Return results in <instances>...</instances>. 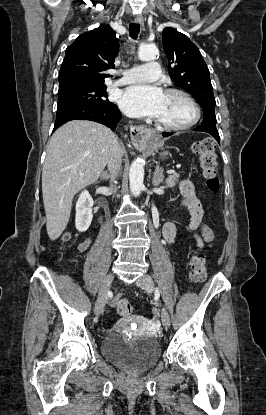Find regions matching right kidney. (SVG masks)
I'll return each instance as SVG.
<instances>
[{"label": "right kidney", "mask_w": 266, "mask_h": 415, "mask_svg": "<svg viewBox=\"0 0 266 415\" xmlns=\"http://www.w3.org/2000/svg\"><path fill=\"white\" fill-rule=\"evenodd\" d=\"M94 202L87 190L79 195L76 203L75 226L79 232H85L92 221V206Z\"/></svg>", "instance_id": "ca27d5eb"}]
</instances>
